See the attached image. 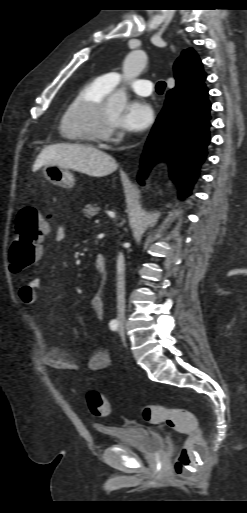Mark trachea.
Segmentation results:
<instances>
[{"instance_id": "3493384b", "label": "trachea", "mask_w": 247, "mask_h": 513, "mask_svg": "<svg viewBox=\"0 0 247 513\" xmlns=\"http://www.w3.org/2000/svg\"><path fill=\"white\" fill-rule=\"evenodd\" d=\"M165 87L166 83L164 81H159L156 85L157 93L162 94L164 92Z\"/></svg>"}]
</instances>
